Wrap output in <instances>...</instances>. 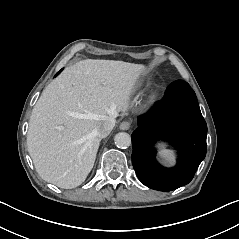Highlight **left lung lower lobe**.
Masks as SVG:
<instances>
[{
    "instance_id": "0a47b994",
    "label": "left lung lower lobe",
    "mask_w": 239,
    "mask_h": 239,
    "mask_svg": "<svg viewBox=\"0 0 239 239\" xmlns=\"http://www.w3.org/2000/svg\"><path fill=\"white\" fill-rule=\"evenodd\" d=\"M138 126L131 135V157L140 181L159 191L188 184L207 151V125L190 85L183 80L170 84L164 100L139 117ZM159 139L171 142L179 150L175 167L165 168L156 161L153 144Z\"/></svg>"
}]
</instances>
